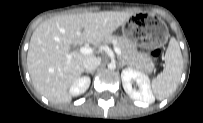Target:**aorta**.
<instances>
[{
	"label": "aorta",
	"instance_id": "obj_1",
	"mask_svg": "<svg viewBox=\"0 0 203 123\" xmlns=\"http://www.w3.org/2000/svg\"><path fill=\"white\" fill-rule=\"evenodd\" d=\"M115 65L114 64H112V65H109V68H112V67H114Z\"/></svg>",
	"mask_w": 203,
	"mask_h": 123
}]
</instances>
